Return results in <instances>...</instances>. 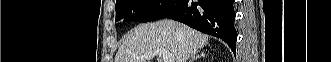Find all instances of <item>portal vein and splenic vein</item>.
Masks as SVG:
<instances>
[{"instance_id":"portal-vein-and-splenic-vein-1","label":"portal vein and splenic vein","mask_w":331,"mask_h":62,"mask_svg":"<svg viewBox=\"0 0 331 62\" xmlns=\"http://www.w3.org/2000/svg\"><path fill=\"white\" fill-rule=\"evenodd\" d=\"M159 55L162 57L163 62H174V56L170 54V52L166 49H155L153 51L146 52L142 57L141 60H147L155 55Z\"/></svg>"}]
</instances>
